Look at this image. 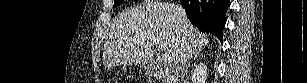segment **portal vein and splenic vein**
I'll return each instance as SVG.
<instances>
[{
    "label": "portal vein and splenic vein",
    "instance_id": "18ae733b",
    "mask_svg": "<svg viewBox=\"0 0 307 83\" xmlns=\"http://www.w3.org/2000/svg\"><path fill=\"white\" fill-rule=\"evenodd\" d=\"M155 41H156L157 46L162 49L163 48V44L160 42V40L159 39H155ZM162 61H163L164 64H171L172 57L169 54H164L162 56Z\"/></svg>",
    "mask_w": 307,
    "mask_h": 83
}]
</instances>
